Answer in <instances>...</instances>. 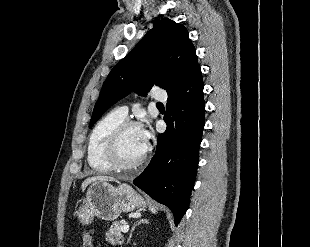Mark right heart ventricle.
<instances>
[{
  "mask_svg": "<svg viewBox=\"0 0 310 247\" xmlns=\"http://www.w3.org/2000/svg\"><path fill=\"white\" fill-rule=\"evenodd\" d=\"M125 118L117 110H112L104 115L92 129L87 145V161L95 172L107 173L111 171L104 158L105 145L110 133Z\"/></svg>",
  "mask_w": 310,
  "mask_h": 247,
  "instance_id": "obj_1",
  "label": "right heart ventricle"
}]
</instances>
